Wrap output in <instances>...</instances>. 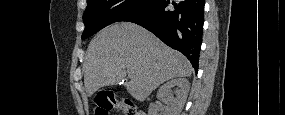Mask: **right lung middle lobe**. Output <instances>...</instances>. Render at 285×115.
<instances>
[{
  "label": "right lung middle lobe",
  "mask_w": 285,
  "mask_h": 115,
  "mask_svg": "<svg viewBox=\"0 0 285 115\" xmlns=\"http://www.w3.org/2000/svg\"><path fill=\"white\" fill-rule=\"evenodd\" d=\"M156 0H88L83 14L86 39L111 23L123 21L129 15L142 10Z\"/></svg>",
  "instance_id": "1"
}]
</instances>
